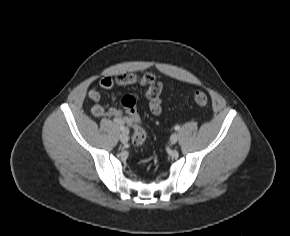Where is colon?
Here are the masks:
<instances>
[{"mask_svg": "<svg viewBox=\"0 0 290 236\" xmlns=\"http://www.w3.org/2000/svg\"><path fill=\"white\" fill-rule=\"evenodd\" d=\"M193 99L196 105L205 106L208 103V96L203 91H196L193 95ZM121 106L126 112V116L130 124L132 125V144L136 147H140L145 144L147 139V132L140 122V118L136 112V101L133 96L125 95L121 98Z\"/></svg>", "mask_w": 290, "mask_h": 236, "instance_id": "obj_1", "label": "colon"}]
</instances>
